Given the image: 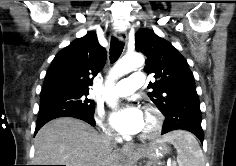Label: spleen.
Returning a JSON list of instances; mask_svg holds the SVG:
<instances>
[{
    "instance_id": "3e777b00",
    "label": "spleen",
    "mask_w": 236,
    "mask_h": 166,
    "mask_svg": "<svg viewBox=\"0 0 236 166\" xmlns=\"http://www.w3.org/2000/svg\"><path fill=\"white\" fill-rule=\"evenodd\" d=\"M157 141L168 142L174 146L179 166H205L203 152L193 134L177 130L164 135Z\"/></svg>"
}]
</instances>
